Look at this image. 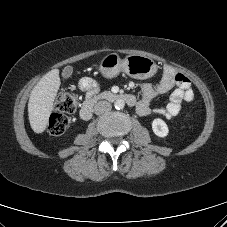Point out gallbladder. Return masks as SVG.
Returning <instances> with one entry per match:
<instances>
[{"label": "gallbladder", "instance_id": "bac80fb5", "mask_svg": "<svg viewBox=\"0 0 227 227\" xmlns=\"http://www.w3.org/2000/svg\"><path fill=\"white\" fill-rule=\"evenodd\" d=\"M72 71H73L72 67L70 66L65 67L62 71V77L68 78L72 74Z\"/></svg>", "mask_w": 227, "mask_h": 227}]
</instances>
